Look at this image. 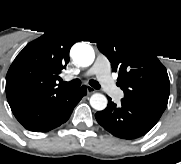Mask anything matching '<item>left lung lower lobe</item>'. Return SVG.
<instances>
[{
  "instance_id": "0a47b994",
  "label": "left lung lower lobe",
  "mask_w": 181,
  "mask_h": 164,
  "mask_svg": "<svg viewBox=\"0 0 181 164\" xmlns=\"http://www.w3.org/2000/svg\"><path fill=\"white\" fill-rule=\"evenodd\" d=\"M108 106L95 114L97 122L108 132L123 139H135L150 131L163 111L145 104L121 99L116 105L108 97Z\"/></svg>"
}]
</instances>
